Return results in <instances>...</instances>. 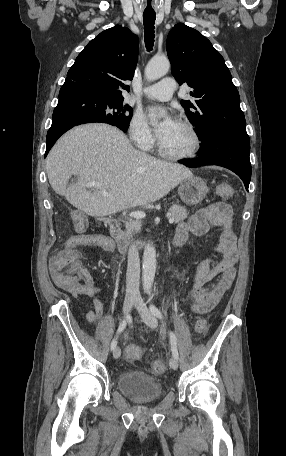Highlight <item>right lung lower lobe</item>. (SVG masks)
I'll return each instance as SVG.
<instances>
[{
    "label": "right lung lower lobe",
    "instance_id": "right-lung-lower-lobe-1",
    "mask_svg": "<svg viewBox=\"0 0 286 456\" xmlns=\"http://www.w3.org/2000/svg\"><path fill=\"white\" fill-rule=\"evenodd\" d=\"M97 100L98 97L80 88L60 89L59 101L54 109L52 125L46 137L45 157L56 140L67 130L76 125L91 123L89 116L91 106H94Z\"/></svg>",
    "mask_w": 286,
    "mask_h": 456
}]
</instances>
